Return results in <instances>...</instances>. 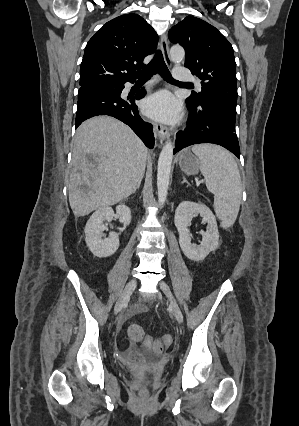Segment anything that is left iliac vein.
<instances>
[{
	"mask_svg": "<svg viewBox=\"0 0 299 426\" xmlns=\"http://www.w3.org/2000/svg\"><path fill=\"white\" fill-rule=\"evenodd\" d=\"M159 287L163 291V293L167 296V298L169 299L170 304H171V308H172V311H173V314H174L176 320L178 321V323H183V314L181 312V309H180L176 299L174 298V295H173L170 287L164 281H161L159 283Z\"/></svg>",
	"mask_w": 299,
	"mask_h": 426,
	"instance_id": "left-iliac-vein-1",
	"label": "left iliac vein"
}]
</instances>
